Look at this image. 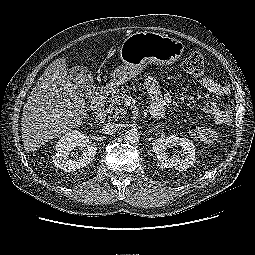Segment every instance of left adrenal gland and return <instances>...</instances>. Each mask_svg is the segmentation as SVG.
I'll return each instance as SVG.
<instances>
[{
	"label": "left adrenal gland",
	"instance_id": "left-adrenal-gland-1",
	"mask_svg": "<svg viewBox=\"0 0 255 255\" xmlns=\"http://www.w3.org/2000/svg\"><path fill=\"white\" fill-rule=\"evenodd\" d=\"M153 130H155V128L151 129L149 132H152Z\"/></svg>",
	"mask_w": 255,
	"mask_h": 255
}]
</instances>
